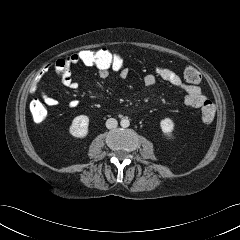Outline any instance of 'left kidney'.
Segmentation results:
<instances>
[{
    "label": "left kidney",
    "instance_id": "left-kidney-1",
    "mask_svg": "<svg viewBox=\"0 0 240 240\" xmlns=\"http://www.w3.org/2000/svg\"><path fill=\"white\" fill-rule=\"evenodd\" d=\"M160 127L162 132L167 136V137H172V132L174 130V122L173 120L169 118H165L161 120L160 122Z\"/></svg>",
    "mask_w": 240,
    "mask_h": 240
}]
</instances>
